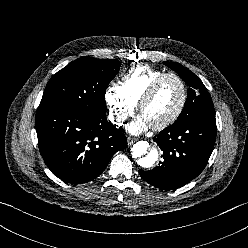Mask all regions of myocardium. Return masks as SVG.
I'll list each match as a JSON object with an SVG mask.
<instances>
[{
  "instance_id": "f54148a6",
  "label": "myocardium",
  "mask_w": 248,
  "mask_h": 248,
  "mask_svg": "<svg viewBox=\"0 0 248 248\" xmlns=\"http://www.w3.org/2000/svg\"><path fill=\"white\" fill-rule=\"evenodd\" d=\"M167 77H173L175 78L180 86H181V100H180V104L177 107V109L174 111V113H172L169 117H167L166 119H164L163 121L154 124V125H150L152 129L154 130H162L166 127H168L169 125H171L172 123H174L182 114L186 102H187V87L186 84L184 82V80L176 73L173 72H166L161 74L160 76H158L157 78H155L152 83L149 85V87L147 88V90L144 92V94L142 95V97L140 98L139 102H138V110L141 113L143 107L152 99V97L154 96L155 92L157 91L160 83Z\"/></svg>"
}]
</instances>
